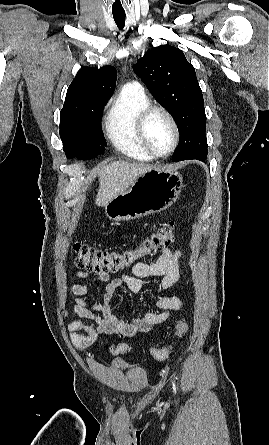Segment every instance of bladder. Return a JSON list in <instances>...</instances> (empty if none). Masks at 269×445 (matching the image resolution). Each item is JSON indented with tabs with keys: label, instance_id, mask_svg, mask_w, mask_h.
<instances>
[{
	"label": "bladder",
	"instance_id": "1",
	"mask_svg": "<svg viewBox=\"0 0 269 445\" xmlns=\"http://www.w3.org/2000/svg\"><path fill=\"white\" fill-rule=\"evenodd\" d=\"M109 367L115 370H125L128 366L123 362L113 361L110 363Z\"/></svg>",
	"mask_w": 269,
	"mask_h": 445
}]
</instances>
